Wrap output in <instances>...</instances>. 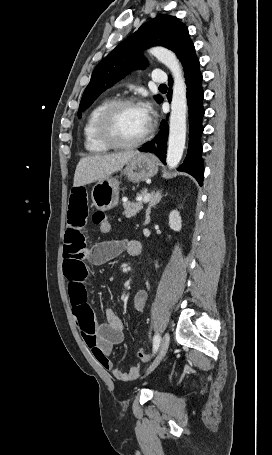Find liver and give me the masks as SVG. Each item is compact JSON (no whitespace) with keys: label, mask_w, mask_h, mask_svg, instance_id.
Listing matches in <instances>:
<instances>
[{"label":"liver","mask_w":272,"mask_h":455,"mask_svg":"<svg viewBox=\"0 0 272 455\" xmlns=\"http://www.w3.org/2000/svg\"><path fill=\"white\" fill-rule=\"evenodd\" d=\"M138 154H140L138 151H126L84 157L77 164L73 186H84L95 181H102L122 169L131 158Z\"/></svg>","instance_id":"liver-1"}]
</instances>
